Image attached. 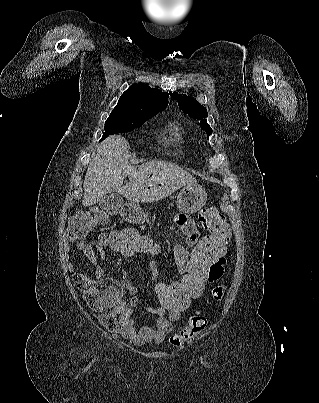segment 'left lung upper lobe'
Segmentation results:
<instances>
[{"instance_id": "5c2ea615", "label": "left lung upper lobe", "mask_w": 319, "mask_h": 403, "mask_svg": "<svg viewBox=\"0 0 319 403\" xmlns=\"http://www.w3.org/2000/svg\"><path fill=\"white\" fill-rule=\"evenodd\" d=\"M169 93L174 100L178 101L180 109H182L185 114L200 120L201 127L206 131L207 136H210L212 134V129L209 124H207L206 117L208 116V113L206 108L200 105V103L197 102V100H195L193 97L181 95L177 92Z\"/></svg>"}]
</instances>
